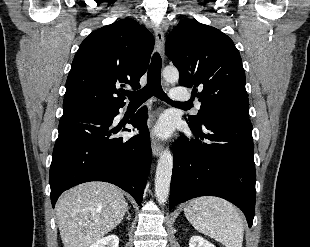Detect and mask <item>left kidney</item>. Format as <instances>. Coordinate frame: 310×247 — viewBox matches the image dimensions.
Here are the masks:
<instances>
[{"instance_id":"1","label":"left kidney","mask_w":310,"mask_h":247,"mask_svg":"<svg viewBox=\"0 0 310 247\" xmlns=\"http://www.w3.org/2000/svg\"><path fill=\"white\" fill-rule=\"evenodd\" d=\"M189 247H215L212 243L201 236H192L189 241Z\"/></svg>"}]
</instances>
